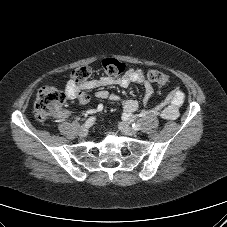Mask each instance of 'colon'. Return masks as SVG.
Returning a JSON list of instances; mask_svg holds the SVG:
<instances>
[{
  "mask_svg": "<svg viewBox=\"0 0 227 227\" xmlns=\"http://www.w3.org/2000/svg\"><path fill=\"white\" fill-rule=\"evenodd\" d=\"M104 73L108 77H118L121 74L133 70L126 63L114 58L104 59L102 62ZM91 68L81 66L72 72L73 81L77 84H82L91 76ZM146 78L158 85H165L168 82V77L157 70H148L145 74ZM66 94L53 85H46L38 91L34 104V115L40 122H45L49 118L61 113L66 102Z\"/></svg>",
  "mask_w": 227,
  "mask_h": 227,
  "instance_id": "1",
  "label": "colon"
}]
</instances>
